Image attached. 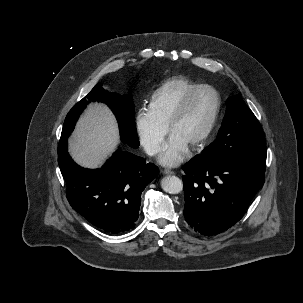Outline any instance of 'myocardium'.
<instances>
[{
  "instance_id": "obj_1",
  "label": "myocardium",
  "mask_w": 303,
  "mask_h": 303,
  "mask_svg": "<svg viewBox=\"0 0 303 303\" xmlns=\"http://www.w3.org/2000/svg\"><path fill=\"white\" fill-rule=\"evenodd\" d=\"M203 89H208V90H210L214 93V95L216 97V106H215L214 113L211 117V120H210L208 126L203 131V133L191 145V148L194 149V150L199 149L200 147H202L205 144V142L208 140V138L212 134V132H213V130H214L216 124H217V121H218L219 116H220L221 108H222V98H221V95L218 92V90L215 87H213L212 85H209V84H199L198 86H196L195 88L190 90L184 96V98L182 99V101L180 102V104L178 105V107L176 108L174 113L172 114V116L169 120V123H168V129H169L170 132H172L175 125L177 124V122L182 118V116L187 111L193 97L199 91H201Z\"/></svg>"
}]
</instances>
